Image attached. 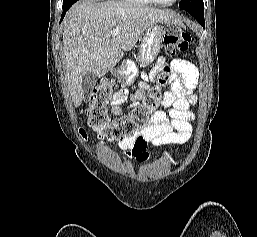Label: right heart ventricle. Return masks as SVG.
Instances as JSON below:
<instances>
[{
    "label": "right heart ventricle",
    "instance_id": "obj_1",
    "mask_svg": "<svg viewBox=\"0 0 257 237\" xmlns=\"http://www.w3.org/2000/svg\"><path fill=\"white\" fill-rule=\"evenodd\" d=\"M129 3H136V4H149L151 3L150 0H122Z\"/></svg>",
    "mask_w": 257,
    "mask_h": 237
}]
</instances>
